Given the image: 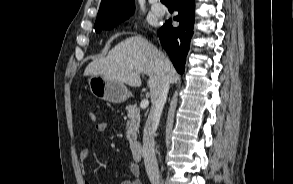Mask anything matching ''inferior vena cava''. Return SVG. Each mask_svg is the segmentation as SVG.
Returning a JSON list of instances; mask_svg holds the SVG:
<instances>
[{"label":"inferior vena cava","mask_w":293,"mask_h":184,"mask_svg":"<svg viewBox=\"0 0 293 184\" xmlns=\"http://www.w3.org/2000/svg\"><path fill=\"white\" fill-rule=\"evenodd\" d=\"M169 91V78L164 77L158 90L151 95V110L143 132V149L145 168L151 184H159V169L155 155L154 134L158 127L161 113Z\"/></svg>","instance_id":"1"}]
</instances>
